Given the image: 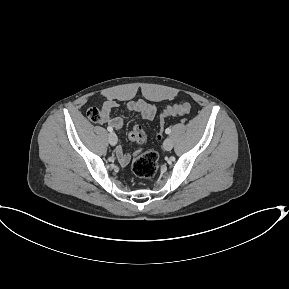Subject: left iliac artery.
Returning <instances> with one entry per match:
<instances>
[{"mask_svg":"<svg viewBox=\"0 0 289 289\" xmlns=\"http://www.w3.org/2000/svg\"><path fill=\"white\" fill-rule=\"evenodd\" d=\"M165 133H166V134H170V133H171V129H170V128H167V129L165 130Z\"/></svg>","mask_w":289,"mask_h":289,"instance_id":"left-iliac-artery-1","label":"left iliac artery"}]
</instances>
